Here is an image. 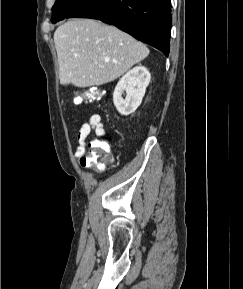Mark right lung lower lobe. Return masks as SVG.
<instances>
[{"mask_svg":"<svg viewBox=\"0 0 243 289\" xmlns=\"http://www.w3.org/2000/svg\"><path fill=\"white\" fill-rule=\"evenodd\" d=\"M101 20L169 55L170 0H85L67 18Z\"/></svg>","mask_w":243,"mask_h":289,"instance_id":"98d812e1","label":"right lung lower lobe"}]
</instances>
